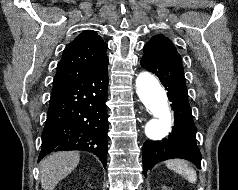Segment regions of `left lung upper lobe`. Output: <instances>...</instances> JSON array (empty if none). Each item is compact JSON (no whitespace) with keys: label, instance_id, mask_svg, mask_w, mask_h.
Returning a JSON list of instances; mask_svg holds the SVG:
<instances>
[{"label":"left lung upper lobe","instance_id":"1","mask_svg":"<svg viewBox=\"0 0 238 190\" xmlns=\"http://www.w3.org/2000/svg\"><path fill=\"white\" fill-rule=\"evenodd\" d=\"M144 52H148L156 57L182 61L174 44L163 35H156L144 46Z\"/></svg>","mask_w":238,"mask_h":190}]
</instances>
